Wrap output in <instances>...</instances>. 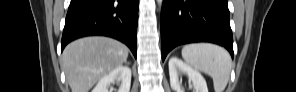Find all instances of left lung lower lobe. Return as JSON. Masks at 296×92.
Returning a JSON list of instances; mask_svg holds the SVG:
<instances>
[{"label": "left lung lower lobe", "mask_w": 296, "mask_h": 92, "mask_svg": "<svg viewBox=\"0 0 296 92\" xmlns=\"http://www.w3.org/2000/svg\"><path fill=\"white\" fill-rule=\"evenodd\" d=\"M211 42L233 57L227 0H164L161 12L162 60L176 46Z\"/></svg>", "instance_id": "1"}]
</instances>
